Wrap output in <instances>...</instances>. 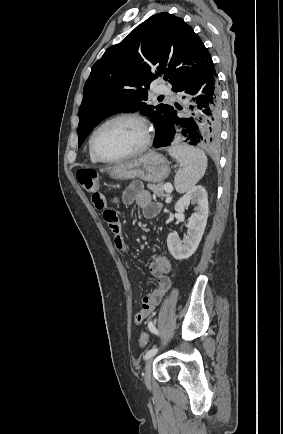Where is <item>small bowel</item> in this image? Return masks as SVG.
<instances>
[{
  "label": "small bowel",
  "instance_id": "obj_1",
  "mask_svg": "<svg viewBox=\"0 0 283 434\" xmlns=\"http://www.w3.org/2000/svg\"><path fill=\"white\" fill-rule=\"evenodd\" d=\"M117 200L116 198L113 199L114 202ZM120 201L124 204H136L142 210L145 218L156 217L161 209L160 204L152 200L150 193L144 189L140 182L130 184L123 191ZM92 202L97 209L103 210V218L113 233L116 247L123 252H128L122 224L116 211L108 207V197L97 191L92 194ZM149 270L155 279V284L143 298L141 308L134 316L136 325L142 324L154 312L156 306L161 302L171 286L169 278L171 263L165 256L161 254L152 255Z\"/></svg>",
  "mask_w": 283,
  "mask_h": 434
}]
</instances>
